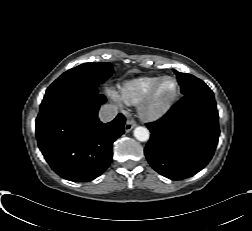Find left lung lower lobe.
<instances>
[{
	"mask_svg": "<svg viewBox=\"0 0 252 231\" xmlns=\"http://www.w3.org/2000/svg\"><path fill=\"white\" fill-rule=\"evenodd\" d=\"M146 126L151 137L144 152L152 168L172 180L190 177L208 164L218 143L214 94H185L165 116Z\"/></svg>",
	"mask_w": 252,
	"mask_h": 231,
	"instance_id": "1",
	"label": "left lung lower lobe"
}]
</instances>
